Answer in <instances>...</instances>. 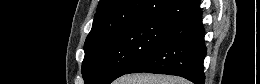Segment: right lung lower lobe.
Instances as JSON below:
<instances>
[{"label":"right lung lower lobe","mask_w":260,"mask_h":84,"mask_svg":"<svg viewBox=\"0 0 260 84\" xmlns=\"http://www.w3.org/2000/svg\"><path fill=\"white\" fill-rule=\"evenodd\" d=\"M206 56L200 8L173 24L169 32L126 73L149 72L184 77L204 84Z\"/></svg>","instance_id":"obj_1"}]
</instances>
